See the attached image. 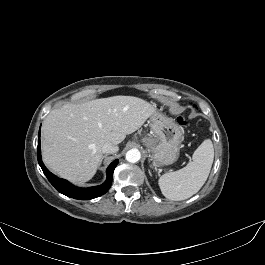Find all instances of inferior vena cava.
<instances>
[{
    "instance_id": "1",
    "label": "inferior vena cava",
    "mask_w": 265,
    "mask_h": 265,
    "mask_svg": "<svg viewBox=\"0 0 265 265\" xmlns=\"http://www.w3.org/2000/svg\"><path fill=\"white\" fill-rule=\"evenodd\" d=\"M118 151V147L110 142H107L102 147L103 153H116Z\"/></svg>"
}]
</instances>
